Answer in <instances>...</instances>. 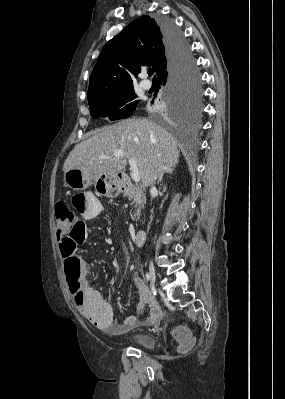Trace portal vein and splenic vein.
<instances>
[{
  "label": "portal vein and splenic vein",
  "instance_id": "1",
  "mask_svg": "<svg viewBox=\"0 0 285 399\" xmlns=\"http://www.w3.org/2000/svg\"><path fill=\"white\" fill-rule=\"evenodd\" d=\"M123 155H124L123 151L114 152V156H116V157H122ZM103 158H108V157L103 156ZM128 162H129L130 169H131V178L133 179L134 182L138 183L140 181V171H139L137 162L134 159H129Z\"/></svg>",
  "mask_w": 285,
  "mask_h": 399
}]
</instances>
